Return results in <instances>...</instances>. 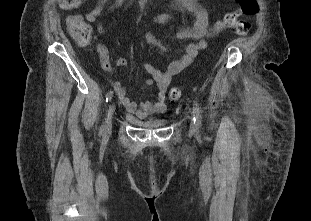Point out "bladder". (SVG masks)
Listing matches in <instances>:
<instances>
[{
  "label": "bladder",
  "mask_w": 311,
  "mask_h": 221,
  "mask_svg": "<svg viewBox=\"0 0 311 221\" xmlns=\"http://www.w3.org/2000/svg\"><path fill=\"white\" fill-rule=\"evenodd\" d=\"M140 126L145 127L147 129H157L163 128L169 123L168 118H158V117H149L144 120H136Z\"/></svg>",
  "instance_id": "bladder-1"
}]
</instances>
